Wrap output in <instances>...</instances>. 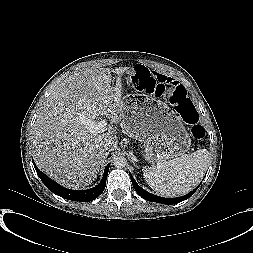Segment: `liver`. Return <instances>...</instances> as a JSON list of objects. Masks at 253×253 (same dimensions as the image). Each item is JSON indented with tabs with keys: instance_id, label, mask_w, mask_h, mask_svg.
<instances>
[{
	"instance_id": "1",
	"label": "liver",
	"mask_w": 253,
	"mask_h": 253,
	"mask_svg": "<svg viewBox=\"0 0 253 253\" xmlns=\"http://www.w3.org/2000/svg\"><path fill=\"white\" fill-rule=\"evenodd\" d=\"M128 67L75 72L50 93L32 127L36 165L68 188H84L97 177L106 159L105 144L118 143L116 128L91 133L81 121L107 116L122 123V75ZM112 74L115 75L113 85Z\"/></svg>"
}]
</instances>
